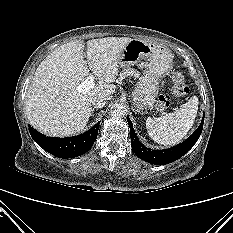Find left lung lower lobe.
Here are the masks:
<instances>
[{"label": "left lung lower lobe", "mask_w": 233, "mask_h": 233, "mask_svg": "<svg viewBox=\"0 0 233 233\" xmlns=\"http://www.w3.org/2000/svg\"><path fill=\"white\" fill-rule=\"evenodd\" d=\"M127 121L130 127V137H131V146L133 152L142 160L149 162L154 165H165L172 163L183 155H185L197 142L198 138L201 135L203 124H204V114L203 119L200 123V126L181 144L171 147L166 150H153L145 147L137 138L132 122L127 116Z\"/></svg>", "instance_id": "obj_1"}]
</instances>
